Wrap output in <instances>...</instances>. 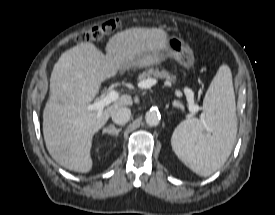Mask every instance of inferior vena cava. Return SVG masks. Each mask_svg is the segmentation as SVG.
Here are the masks:
<instances>
[{"instance_id":"obj_1","label":"inferior vena cava","mask_w":275,"mask_h":215,"mask_svg":"<svg viewBox=\"0 0 275 215\" xmlns=\"http://www.w3.org/2000/svg\"><path fill=\"white\" fill-rule=\"evenodd\" d=\"M131 116V110L127 107H120L116 109L111 117L114 123L118 125H124L126 124Z\"/></svg>"}]
</instances>
